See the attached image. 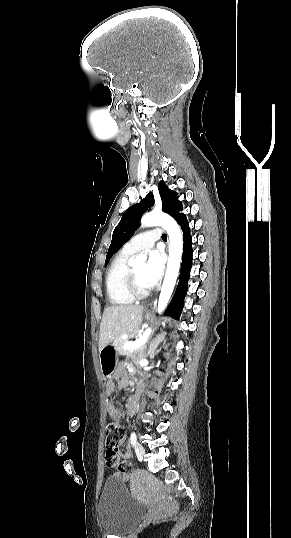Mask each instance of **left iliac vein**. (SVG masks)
Listing matches in <instances>:
<instances>
[{
  "label": "left iliac vein",
  "instance_id": "left-iliac-vein-1",
  "mask_svg": "<svg viewBox=\"0 0 291 538\" xmlns=\"http://www.w3.org/2000/svg\"><path fill=\"white\" fill-rule=\"evenodd\" d=\"M135 452H136V455H137L138 458H140V459L143 458L145 450H144L143 446L140 443L135 444Z\"/></svg>",
  "mask_w": 291,
  "mask_h": 538
}]
</instances>
